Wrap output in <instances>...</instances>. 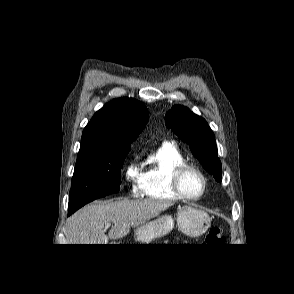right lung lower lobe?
Listing matches in <instances>:
<instances>
[{"mask_svg": "<svg viewBox=\"0 0 294 294\" xmlns=\"http://www.w3.org/2000/svg\"><path fill=\"white\" fill-rule=\"evenodd\" d=\"M81 207H82V206H77V207L69 208V210H70L69 215L72 214V213H74L76 210H78V209L81 208Z\"/></svg>", "mask_w": 294, "mask_h": 294, "instance_id": "1", "label": "right lung lower lobe"}]
</instances>
